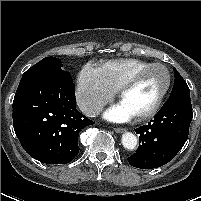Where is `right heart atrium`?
<instances>
[{
	"mask_svg": "<svg viewBox=\"0 0 201 201\" xmlns=\"http://www.w3.org/2000/svg\"><path fill=\"white\" fill-rule=\"evenodd\" d=\"M114 96L98 68L86 65L79 73L76 88L77 104L87 116H95Z\"/></svg>",
	"mask_w": 201,
	"mask_h": 201,
	"instance_id": "right-heart-atrium-1",
	"label": "right heart atrium"
}]
</instances>
